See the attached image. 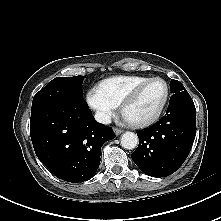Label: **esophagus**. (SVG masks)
<instances>
[{
  "mask_svg": "<svg viewBox=\"0 0 221 221\" xmlns=\"http://www.w3.org/2000/svg\"><path fill=\"white\" fill-rule=\"evenodd\" d=\"M113 131L116 135H120L123 132V130H121L119 128H114Z\"/></svg>",
  "mask_w": 221,
  "mask_h": 221,
  "instance_id": "1",
  "label": "esophagus"
}]
</instances>
